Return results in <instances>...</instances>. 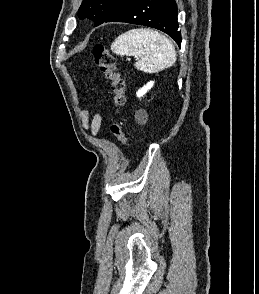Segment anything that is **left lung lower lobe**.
Instances as JSON below:
<instances>
[{
  "mask_svg": "<svg viewBox=\"0 0 259 294\" xmlns=\"http://www.w3.org/2000/svg\"><path fill=\"white\" fill-rule=\"evenodd\" d=\"M104 22H126L153 27L167 33L181 45L174 0H124L114 7Z\"/></svg>",
  "mask_w": 259,
  "mask_h": 294,
  "instance_id": "1",
  "label": "left lung lower lobe"
}]
</instances>
